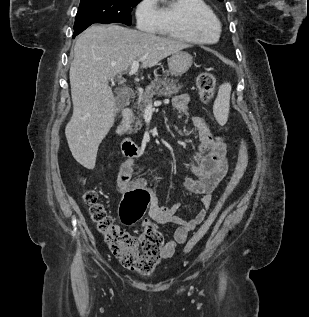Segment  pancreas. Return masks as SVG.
Listing matches in <instances>:
<instances>
[{
  "label": "pancreas",
  "mask_w": 309,
  "mask_h": 317,
  "mask_svg": "<svg viewBox=\"0 0 309 317\" xmlns=\"http://www.w3.org/2000/svg\"><path fill=\"white\" fill-rule=\"evenodd\" d=\"M178 80L155 79L145 89V91L139 94L135 108L137 109V117L132 118L134 126L129 127V133L137 132L138 126L142 125L141 117L144 115V110L151 102L154 95L171 97L173 94L178 93L183 87L181 84H177Z\"/></svg>",
  "instance_id": "1"
}]
</instances>
